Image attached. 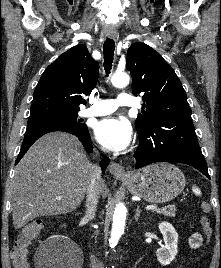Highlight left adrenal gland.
<instances>
[{
    "label": "left adrenal gland",
    "instance_id": "left-adrenal-gland-1",
    "mask_svg": "<svg viewBox=\"0 0 221 268\" xmlns=\"http://www.w3.org/2000/svg\"><path fill=\"white\" fill-rule=\"evenodd\" d=\"M140 213H141L140 207L137 206V208H136V213H135V216H134V220H135V222H138Z\"/></svg>",
    "mask_w": 221,
    "mask_h": 268
}]
</instances>
